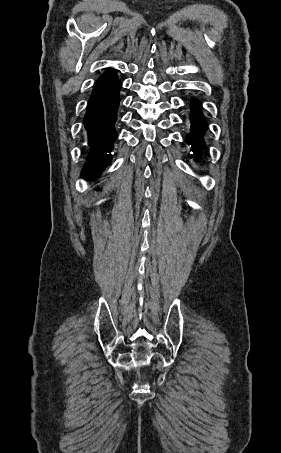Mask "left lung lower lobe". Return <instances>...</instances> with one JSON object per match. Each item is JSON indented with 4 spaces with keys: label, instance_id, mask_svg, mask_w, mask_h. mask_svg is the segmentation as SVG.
<instances>
[{
    "label": "left lung lower lobe",
    "instance_id": "obj_1",
    "mask_svg": "<svg viewBox=\"0 0 281 453\" xmlns=\"http://www.w3.org/2000/svg\"><path fill=\"white\" fill-rule=\"evenodd\" d=\"M191 115L190 121L192 124L191 133L187 135L186 141L188 144L192 145L191 150L194 154L190 155V157L195 156L196 161L199 160V155L201 151L205 148V142L203 139L204 132L207 128V123L201 113V106L199 101L193 99L191 100Z\"/></svg>",
    "mask_w": 281,
    "mask_h": 453
}]
</instances>
